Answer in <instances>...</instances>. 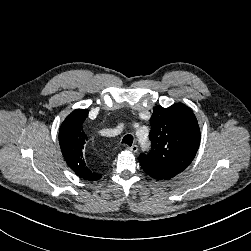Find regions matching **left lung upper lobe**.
<instances>
[{
  "label": "left lung upper lobe",
  "instance_id": "5c2ea615",
  "mask_svg": "<svg viewBox=\"0 0 251 251\" xmlns=\"http://www.w3.org/2000/svg\"><path fill=\"white\" fill-rule=\"evenodd\" d=\"M151 150L139 156L141 165L179 174L194 159L200 130L192 110L181 103L168 108L156 106L150 118Z\"/></svg>",
  "mask_w": 251,
  "mask_h": 251
}]
</instances>
